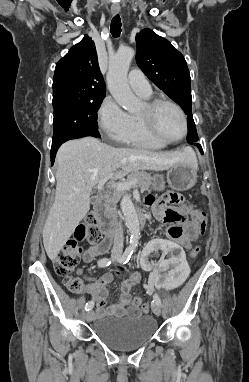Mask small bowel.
I'll return each instance as SVG.
<instances>
[{
  "label": "small bowel",
  "mask_w": 249,
  "mask_h": 382,
  "mask_svg": "<svg viewBox=\"0 0 249 382\" xmlns=\"http://www.w3.org/2000/svg\"><path fill=\"white\" fill-rule=\"evenodd\" d=\"M184 201V198L177 193H166L156 199L153 195H148L145 199L146 205L151 207L154 216L161 222L170 225L167 235L169 240L178 241L183 249H189L191 244L200 234V230L194 218H189L187 213L179 208ZM175 205V206H170ZM170 214V216H169ZM112 240L105 238L100 244L87 248L83 253V261L86 263L92 262L97 256L105 253L111 246ZM186 260V258H185ZM116 275L123 276L122 271H116ZM113 273L107 272L89 283L85 290L93 299L96 306V314L99 317L110 316H125L140 314L135 306L129 309L131 301L130 291L139 282L140 276L133 275L121 282V295L119 299L110 307L106 308V299L108 295L107 285L113 280ZM153 286L152 283L146 285L149 289Z\"/></svg>",
  "instance_id": "small-bowel-1"
}]
</instances>
